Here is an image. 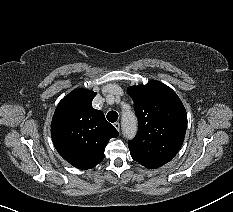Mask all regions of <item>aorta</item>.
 <instances>
[{
    "label": "aorta",
    "mask_w": 233,
    "mask_h": 212,
    "mask_svg": "<svg viewBox=\"0 0 233 212\" xmlns=\"http://www.w3.org/2000/svg\"><path fill=\"white\" fill-rule=\"evenodd\" d=\"M122 128H123V133L127 138L134 137L137 129V121L133 112L131 111L123 112Z\"/></svg>",
    "instance_id": "aorta-1"
}]
</instances>
